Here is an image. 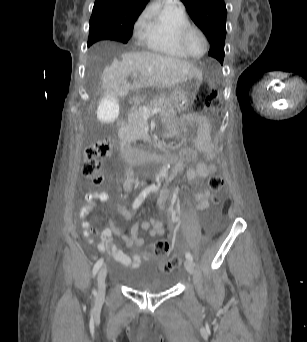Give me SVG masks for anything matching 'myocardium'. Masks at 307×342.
Returning a JSON list of instances; mask_svg holds the SVG:
<instances>
[{
	"label": "myocardium",
	"instance_id": "1",
	"mask_svg": "<svg viewBox=\"0 0 307 342\" xmlns=\"http://www.w3.org/2000/svg\"><path fill=\"white\" fill-rule=\"evenodd\" d=\"M194 29H198L203 37L204 40V44H205V50L204 53L202 54V56L200 57H194L192 56L189 51L187 50V46H186V39L188 34L194 30ZM178 45L180 47V49L182 50V52L192 61H200L202 60L209 51V40H208V35L203 27L202 24L196 22V21H192L190 20L189 22L185 23L179 30L178 33Z\"/></svg>",
	"mask_w": 307,
	"mask_h": 342
}]
</instances>
